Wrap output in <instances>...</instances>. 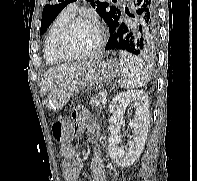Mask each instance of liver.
I'll use <instances>...</instances> for the list:
<instances>
[{"label":"liver","instance_id":"6515ba94","mask_svg":"<svg viewBox=\"0 0 197 181\" xmlns=\"http://www.w3.org/2000/svg\"><path fill=\"white\" fill-rule=\"evenodd\" d=\"M89 63H79L73 65H61L48 69L44 73L43 80L40 83V95L44 96L46 92L61 81L73 79L84 73Z\"/></svg>","mask_w":197,"mask_h":181}]
</instances>
